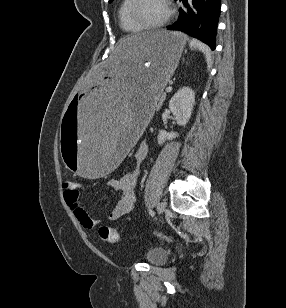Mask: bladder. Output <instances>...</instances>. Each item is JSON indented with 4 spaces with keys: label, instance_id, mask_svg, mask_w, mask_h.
Listing matches in <instances>:
<instances>
[{
    "label": "bladder",
    "instance_id": "31cf9c89",
    "mask_svg": "<svg viewBox=\"0 0 286 308\" xmlns=\"http://www.w3.org/2000/svg\"><path fill=\"white\" fill-rule=\"evenodd\" d=\"M168 258V251L161 247L149 249L145 253V259L152 265H159L165 262Z\"/></svg>",
    "mask_w": 286,
    "mask_h": 308
}]
</instances>
